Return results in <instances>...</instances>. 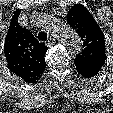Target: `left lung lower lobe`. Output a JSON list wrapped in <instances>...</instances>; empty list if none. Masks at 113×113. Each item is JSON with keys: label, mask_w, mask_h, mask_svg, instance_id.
<instances>
[{"label": "left lung lower lobe", "mask_w": 113, "mask_h": 113, "mask_svg": "<svg viewBox=\"0 0 113 113\" xmlns=\"http://www.w3.org/2000/svg\"><path fill=\"white\" fill-rule=\"evenodd\" d=\"M75 66L79 74H81L82 76L86 78L94 77L95 75L98 74V71L91 70L80 65H75Z\"/></svg>", "instance_id": "left-lung-lower-lobe-1"}]
</instances>
